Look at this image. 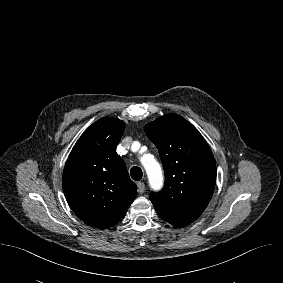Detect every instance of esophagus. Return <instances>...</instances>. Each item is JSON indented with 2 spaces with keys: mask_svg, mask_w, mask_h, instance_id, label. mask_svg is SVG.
Instances as JSON below:
<instances>
[{
  "mask_svg": "<svg viewBox=\"0 0 283 283\" xmlns=\"http://www.w3.org/2000/svg\"><path fill=\"white\" fill-rule=\"evenodd\" d=\"M137 187H138V192L140 194H142L145 191V184L143 182H138Z\"/></svg>",
  "mask_w": 283,
  "mask_h": 283,
  "instance_id": "1",
  "label": "esophagus"
}]
</instances>
